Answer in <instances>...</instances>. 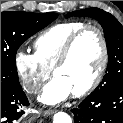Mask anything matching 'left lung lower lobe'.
I'll return each instance as SVG.
<instances>
[{"instance_id":"obj_1","label":"left lung lower lobe","mask_w":123,"mask_h":123,"mask_svg":"<svg viewBox=\"0 0 123 123\" xmlns=\"http://www.w3.org/2000/svg\"><path fill=\"white\" fill-rule=\"evenodd\" d=\"M72 112L74 123H123V84L95 89Z\"/></svg>"}]
</instances>
